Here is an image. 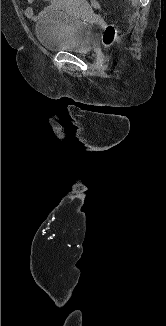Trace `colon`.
<instances>
[{
  "label": "colon",
  "mask_w": 166,
  "mask_h": 326,
  "mask_svg": "<svg viewBox=\"0 0 166 326\" xmlns=\"http://www.w3.org/2000/svg\"><path fill=\"white\" fill-rule=\"evenodd\" d=\"M91 5L93 8H98L99 3L97 0H91ZM116 38V29L113 25H108L104 30L102 35V42L105 46L111 45Z\"/></svg>",
  "instance_id": "1"
}]
</instances>
